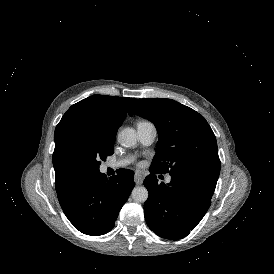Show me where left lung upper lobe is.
Wrapping results in <instances>:
<instances>
[{
	"mask_svg": "<svg viewBox=\"0 0 274 274\" xmlns=\"http://www.w3.org/2000/svg\"><path fill=\"white\" fill-rule=\"evenodd\" d=\"M142 116L156 126L159 140L151 169L169 174L219 177L215 135L205 118L171 99H137L129 115Z\"/></svg>",
	"mask_w": 274,
	"mask_h": 274,
	"instance_id": "1",
	"label": "left lung upper lobe"
}]
</instances>
